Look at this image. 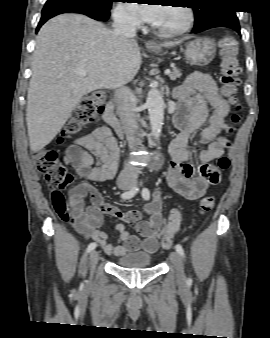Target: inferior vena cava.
<instances>
[{
  "mask_svg": "<svg viewBox=\"0 0 270 338\" xmlns=\"http://www.w3.org/2000/svg\"><path fill=\"white\" fill-rule=\"evenodd\" d=\"M113 33L118 37L132 38L136 36L135 20L124 12L114 14ZM115 101L117 111L120 117L124 133L128 141L129 148L135 149L138 145L135 132L138 129V116L134 111L133 95L131 91L120 86L115 90ZM139 169L133 165L127 164L119 175L120 181L135 180Z\"/></svg>",
  "mask_w": 270,
  "mask_h": 338,
  "instance_id": "1",
  "label": "inferior vena cava"
}]
</instances>
